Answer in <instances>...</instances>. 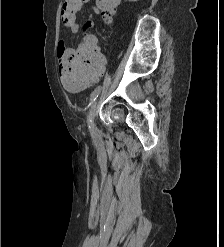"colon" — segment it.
Listing matches in <instances>:
<instances>
[{
	"label": "colon",
	"instance_id": "1",
	"mask_svg": "<svg viewBox=\"0 0 224 247\" xmlns=\"http://www.w3.org/2000/svg\"><path fill=\"white\" fill-rule=\"evenodd\" d=\"M82 2L63 0L60 18L64 27L76 22ZM118 4L119 0H97V6L107 20L114 16ZM60 74L63 84L69 90L83 89L104 74V62L93 36H86L76 54L60 64Z\"/></svg>",
	"mask_w": 224,
	"mask_h": 247
}]
</instances>
